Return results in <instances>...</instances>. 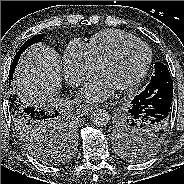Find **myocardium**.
I'll return each mask as SVG.
<instances>
[{"label":"myocardium","mask_w":184,"mask_h":184,"mask_svg":"<svg viewBox=\"0 0 184 184\" xmlns=\"http://www.w3.org/2000/svg\"><path fill=\"white\" fill-rule=\"evenodd\" d=\"M132 46H142L147 51V59L146 62L141 70V72L138 74V76L131 81L129 84L118 88L117 90L121 92H129L133 91L138 88V86L143 82L145 79L151 63H152V51L149 47V45L139 39L131 40L128 42H125L121 44L118 48H116L111 54H109L105 59L102 60V62L99 64V71L101 72L105 66L108 64L114 62L117 58H119L122 53L127 50L128 48Z\"/></svg>","instance_id":"obj_1"}]
</instances>
